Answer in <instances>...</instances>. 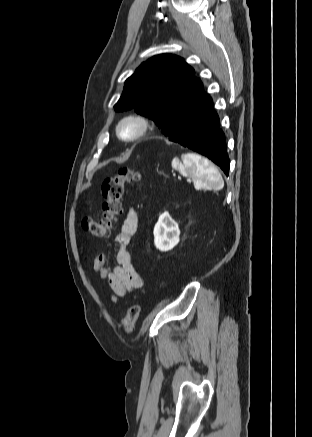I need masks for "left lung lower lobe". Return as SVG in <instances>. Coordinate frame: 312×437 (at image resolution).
<instances>
[{"label":"left lung lower lobe","instance_id":"0a47b994","mask_svg":"<svg viewBox=\"0 0 312 437\" xmlns=\"http://www.w3.org/2000/svg\"><path fill=\"white\" fill-rule=\"evenodd\" d=\"M170 141L208 157L228 175L230 161L226 151L225 136L219 128V117L214 111L210 97L200 111Z\"/></svg>","mask_w":312,"mask_h":437}]
</instances>
